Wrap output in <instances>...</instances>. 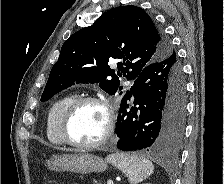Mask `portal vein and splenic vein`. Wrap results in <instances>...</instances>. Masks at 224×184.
I'll list each match as a JSON object with an SVG mask.
<instances>
[{"instance_id":"1","label":"portal vein and splenic vein","mask_w":224,"mask_h":184,"mask_svg":"<svg viewBox=\"0 0 224 184\" xmlns=\"http://www.w3.org/2000/svg\"><path fill=\"white\" fill-rule=\"evenodd\" d=\"M107 184H113V181L112 180H108Z\"/></svg>"}]
</instances>
